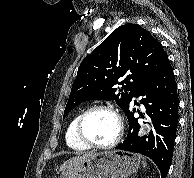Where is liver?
I'll list each match as a JSON object with an SVG mask.
<instances>
[{
  "mask_svg": "<svg viewBox=\"0 0 194 178\" xmlns=\"http://www.w3.org/2000/svg\"><path fill=\"white\" fill-rule=\"evenodd\" d=\"M94 155V153H86L84 155L81 156H76V157H72L70 159H68L67 161H65L61 167H60V171H65L77 164L82 163L83 161H85L86 159L92 157Z\"/></svg>",
  "mask_w": 194,
  "mask_h": 178,
  "instance_id": "liver-1",
  "label": "liver"
}]
</instances>
